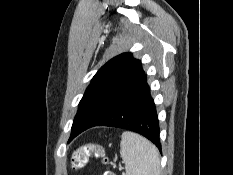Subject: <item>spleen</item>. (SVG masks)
Instances as JSON below:
<instances>
[{
    "instance_id": "3e777b00",
    "label": "spleen",
    "mask_w": 233,
    "mask_h": 175,
    "mask_svg": "<svg viewBox=\"0 0 233 175\" xmlns=\"http://www.w3.org/2000/svg\"><path fill=\"white\" fill-rule=\"evenodd\" d=\"M120 154L126 175H160L158 149L143 136L124 132L120 142Z\"/></svg>"
}]
</instances>
